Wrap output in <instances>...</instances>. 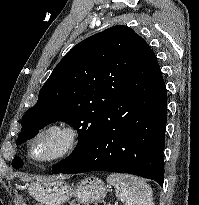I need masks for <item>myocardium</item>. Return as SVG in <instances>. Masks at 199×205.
<instances>
[{
  "label": "myocardium",
  "mask_w": 199,
  "mask_h": 205,
  "mask_svg": "<svg viewBox=\"0 0 199 205\" xmlns=\"http://www.w3.org/2000/svg\"><path fill=\"white\" fill-rule=\"evenodd\" d=\"M48 138L55 140L54 149L50 153L38 157L35 154L36 147ZM78 143L79 132L73 124L53 122L42 128L34 136L29 146V156L38 163H52L68 156L77 147Z\"/></svg>",
  "instance_id": "obj_1"
}]
</instances>
